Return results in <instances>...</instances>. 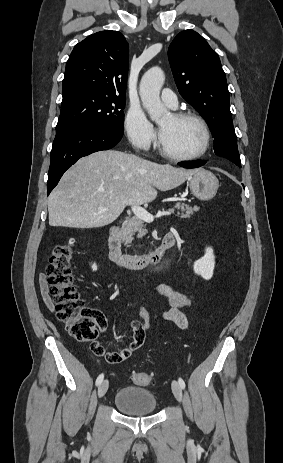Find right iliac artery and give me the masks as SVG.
Masks as SVG:
<instances>
[{
	"label": "right iliac artery",
	"instance_id": "right-iliac-artery-1",
	"mask_svg": "<svg viewBox=\"0 0 283 463\" xmlns=\"http://www.w3.org/2000/svg\"><path fill=\"white\" fill-rule=\"evenodd\" d=\"M103 378H104V374H100L97 379H96V385L98 386L102 381H103Z\"/></svg>",
	"mask_w": 283,
	"mask_h": 463
}]
</instances>
